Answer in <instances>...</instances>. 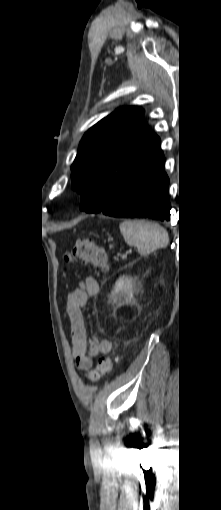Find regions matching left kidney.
Returning a JSON list of instances; mask_svg holds the SVG:
<instances>
[{"instance_id": "obj_1", "label": "left kidney", "mask_w": 221, "mask_h": 510, "mask_svg": "<svg viewBox=\"0 0 221 510\" xmlns=\"http://www.w3.org/2000/svg\"><path fill=\"white\" fill-rule=\"evenodd\" d=\"M139 287V281L137 278L123 276L120 277L109 296L112 303L117 305H125L131 302L134 297V293Z\"/></svg>"}]
</instances>
